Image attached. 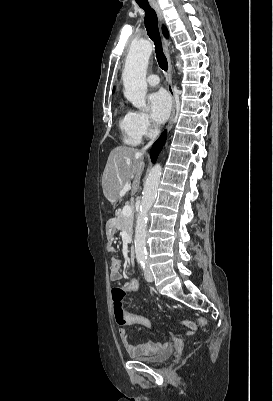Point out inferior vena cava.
<instances>
[{
    "mask_svg": "<svg viewBox=\"0 0 273 401\" xmlns=\"http://www.w3.org/2000/svg\"><path fill=\"white\" fill-rule=\"evenodd\" d=\"M160 130L159 128H153V130H150L149 132V136L151 138L150 142H148V144H146V146H144V148H142V152H145L146 148H149V146H151L154 138H156L157 134H159Z\"/></svg>",
    "mask_w": 273,
    "mask_h": 401,
    "instance_id": "obj_1",
    "label": "inferior vena cava"
}]
</instances>
